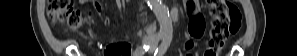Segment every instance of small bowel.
<instances>
[{
	"label": "small bowel",
	"mask_w": 297,
	"mask_h": 56,
	"mask_svg": "<svg viewBox=\"0 0 297 56\" xmlns=\"http://www.w3.org/2000/svg\"><path fill=\"white\" fill-rule=\"evenodd\" d=\"M186 10L191 17L188 31L192 39H199L204 34V20L199 12V7L196 1L186 2ZM86 38H95V41H103L100 44L101 48H106L109 42L106 41V36H102V33H86ZM192 42L186 43V48H190ZM128 46L125 44H110L104 52L105 56H115L118 53L128 55Z\"/></svg>",
	"instance_id": "small-bowel-1"
}]
</instances>
